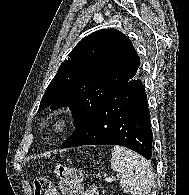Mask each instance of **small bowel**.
<instances>
[{
	"label": "small bowel",
	"mask_w": 189,
	"mask_h": 195,
	"mask_svg": "<svg viewBox=\"0 0 189 195\" xmlns=\"http://www.w3.org/2000/svg\"><path fill=\"white\" fill-rule=\"evenodd\" d=\"M84 195H98V189L95 186H89L85 189Z\"/></svg>",
	"instance_id": "c3829d8e"
}]
</instances>
